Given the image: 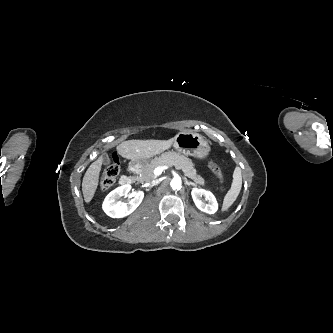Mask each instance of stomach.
Here are the masks:
<instances>
[{
  "label": "stomach",
  "instance_id": "0dacf381",
  "mask_svg": "<svg viewBox=\"0 0 333 333\" xmlns=\"http://www.w3.org/2000/svg\"><path fill=\"white\" fill-rule=\"evenodd\" d=\"M175 149L185 156H193L197 159H205L210 153L209 142L199 133L179 132L173 138ZM148 160H132L130 164L135 168H141Z\"/></svg>",
  "mask_w": 333,
  "mask_h": 333
}]
</instances>
